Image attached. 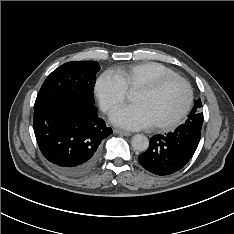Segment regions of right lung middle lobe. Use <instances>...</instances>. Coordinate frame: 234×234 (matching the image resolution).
I'll use <instances>...</instances> for the list:
<instances>
[{"mask_svg": "<svg viewBox=\"0 0 234 234\" xmlns=\"http://www.w3.org/2000/svg\"><path fill=\"white\" fill-rule=\"evenodd\" d=\"M100 66L96 61H72L55 69L44 81L34 109L57 100L94 106L93 88Z\"/></svg>", "mask_w": 234, "mask_h": 234, "instance_id": "dd1d6c3e", "label": "right lung middle lobe"}]
</instances>
